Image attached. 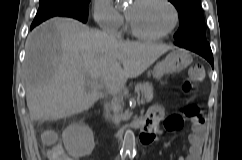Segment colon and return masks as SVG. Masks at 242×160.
<instances>
[{"label":"colon","mask_w":242,"mask_h":160,"mask_svg":"<svg viewBox=\"0 0 242 160\" xmlns=\"http://www.w3.org/2000/svg\"><path fill=\"white\" fill-rule=\"evenodd\" d=\"M204 69L202 65L195 63L189 69V77L183 82L182 90L184 93H191L196 84L203 80ZM184 114L186 117L201 121L202 117L197 107L189 106L185 109ZM43 142L48 147V155L51 160H65L66 154L63 148L57 143V135L48 131L43 135Z\"/></svg>","instance_id":"5ec220e1"}]
</instances>
